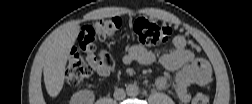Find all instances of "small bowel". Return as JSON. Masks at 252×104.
Returning <instances> with one entry per match:
<instances>
[{
    "mask_svg": "<svg viewBox=\"0 0 252 104\" xmlns=\"http://www.w3.org/2000/svg\"><path fill=\"white\" fill-rule=\"evenodd\" d=\"M155 53L142 45L132 46L124 56L123 62L126 65L139 63L149 65L155 61ZM158 60L160 64L169 71H177L174 81V91L179 101L186 103L190 100L189 87L191 85L203 86L210 82L212 72L208 62L196 57L187 49V40L178 35L173 39L169 50L162 49L159 52ZM89 66L101 77L110 74L99 58L94 55H87ZM156 87L165 90L169 86V80L165 76L156 79Z\"/></svg>",
    "mask_w": 252,
    "mask_h": 104,
    "instance_id": "small-bowel-1",
    "label": "small bowel"
}]
</instances>
